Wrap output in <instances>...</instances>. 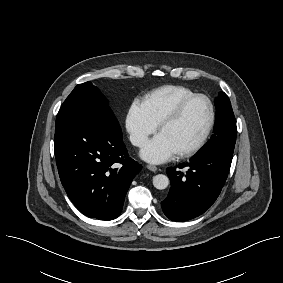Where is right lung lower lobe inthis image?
Returning a JSON list of instances; mask_svg holds the SVG:
<instances>
[{"mask_svg":"<svg viewBox=\"0 0 283 283\" xmlns=\"http://www.w3.org/2000/svg\"><path fill=\"white\" fill-rule=\"evenodd\" d=\"M55 157L62 185L83 214L112 220L142 169L129 157L111 111L83 113L56 125Z\"/></svg>","mask_w":283,"mask_h":283,"instance_id":"98d812e1","label":"right lung lower lobe"}]
</instances>
